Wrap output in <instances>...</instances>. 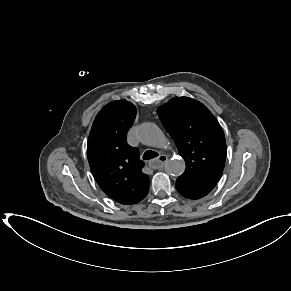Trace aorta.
Instances as JSON below:
<instances>
[{"instance_id": "762f6f07", "label": "aorta", "mask_w": 291, "mask_h": 291, "mask_svg": "<svg viewBox=\"0 0 291 291\" xmlns=\"http://www.w3.org/2000/svg\"><path fill=\"white\" fill-rule=\"evenodd\" d=\"M139 140L151 147L164 149L167 139L161 129L154 123H143L138 129ZM185 161L182 158H173L169 160L165 166V170L169 175L179 176L185 170Z\"/></svg>"}]
</instances>
